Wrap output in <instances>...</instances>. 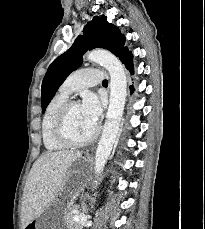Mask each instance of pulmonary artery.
I'll return each mask as SVG.
<instances>
[{
	"label": "pulmonary artery",
	"mask_w": 205,
	"mask_h": 229,
	"mask_svg": "<svg viewBox=\"0 0 205 229\" xmlns=\"http://www.w3.org/2000/svg\"><path fill=\"white\" fill-rule=\"evenodd\" d=\"M104 80V73L96 68H82L68 76L60 87V92L66 96L87 86L97 85Z\"/></svg>",
	"instance_id": "e3ab8cb5"
}]
</instances>
